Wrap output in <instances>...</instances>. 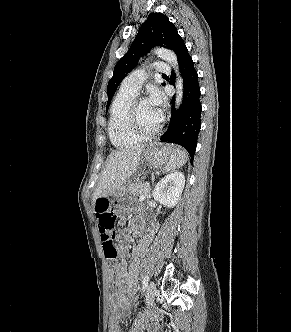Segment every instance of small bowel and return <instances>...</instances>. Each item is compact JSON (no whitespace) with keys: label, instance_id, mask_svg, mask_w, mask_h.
<instances>
[{"label":"small bowel","instance_id":"1","mask_svg":"<svg viewBox=\"0 0 291 332\" xmlns=\"http://www.w3.org/2000/svg\"><path fill=\"white\" fill-rule=\"evenodd\" d=\"M125 220L122 218L121 223ZM142 226L138 223L120 232V245L117 247L118 256L121 261L115 268L116 288L111 293L110 302L114 310H127L132 298L136 294V282L140 259L143 257L149 236L142 235ZM141 235V242L132 250V261L128 264L125 260L128 254V243L131 241V234Z\"/></svg>","mask_w":291,"mask_h":332}]
</instances>
